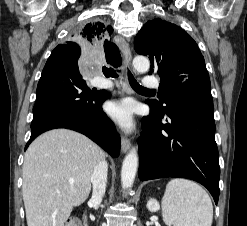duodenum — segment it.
I'll return each instance as SVG.
<instances>
[{"mask_svg":"<svg viewBox=\"0 0 247 226\" xmlns=\"http://www.w3.org/2000/svg\"><path fill=\"white\" fill-rule=\"evenodd\" d=\"M84 226H87L86 216H84Z\"/></svg>","mask_w":247,"mask_h":226,"instance_id":"obj_1","label":"duodenum"}]
</instances>
